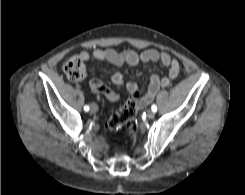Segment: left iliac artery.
<instances>
[{
    "instance_id": "left-iliac-artery-1",
    "label": "left iliac artery",
    "mask_w": 245,
    "mask_h": 195,
    "mask_svg": "<svg viewBox=\"0 0 245 195\" xmlns=\"http://www.w3.org/2000/svg\"><path fill=\"white\" fill-rule=\"evenodd\" d=\"M151 109H152L153 112H156V111H157V106H156L155 104H153V105L151 106Z\"/></svg>"
}]
</instances>
